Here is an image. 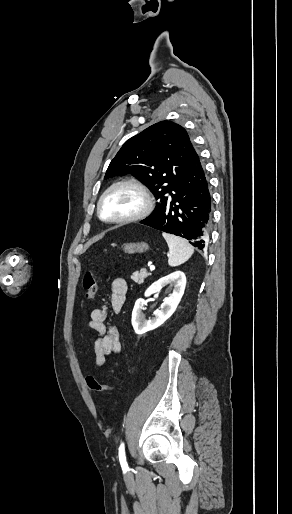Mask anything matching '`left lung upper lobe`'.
Segmentation results:
<instances>
[{"label": "left lung upper lobe", "instance_id": "1", "mask_svg": "<svg viewBox=\"0 0 292 514\" xmlns=\"http://www.w3.org/2000/svg\"><path fill=\"white\" fill-rule=\"evenodd\" d=\"M193 150L187 131L171 121L158 122L127 140L110 162L104 179L131 174L154 194L156 208L185 174ZM149 216V217H150Z\"/></svg>", "mask_w": 292, "mask_h": 514}]
</instances>
